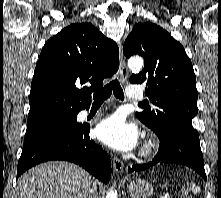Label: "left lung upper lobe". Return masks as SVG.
<instances>
[{
  "instance_id": "5c2ea615",
  "label": "left lung upper lobe",
  "mask_w": 221,
  "mask_h": 198,
  "mask_svg": "<svg viewBox=\"0 0 221 198\" xmlns=\"http://www.w3.org/2000/svg\"><path fill=\"white\" fill-rule=\"evenodd\" d=\"M126 57L144 58L142 72L131 83L146 84L145 94L156 106L136 116L157 135L180 133L199 136L192 126L197 115L196 77L183 46L166 30L153 23H138L127 37Z\"/></svg>"
}]
</instances>
